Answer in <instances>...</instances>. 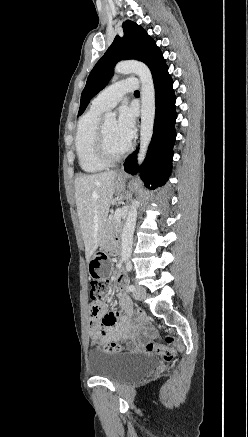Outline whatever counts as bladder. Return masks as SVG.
<instances>
[{
  "label": "bladder",
  "mask_w": 248,
  "mask_h": 437,
  "mask_svg": "<svg viewBox=\"0 0 248 437\" xmlns=\"http://www.w3.org/2000/svg\"><path fill=\"white\" fill-rule=\"evenodd\" d=\"M89 371L92 376L115 383L125 382L151 373L157 364L146 353H116L93 350L88 354Z\"/></svg>",
  "instance_id": "bladder-1"
}]
</instances>
